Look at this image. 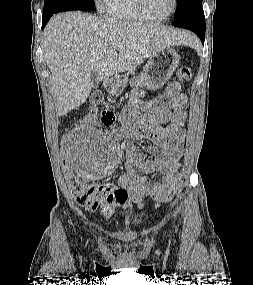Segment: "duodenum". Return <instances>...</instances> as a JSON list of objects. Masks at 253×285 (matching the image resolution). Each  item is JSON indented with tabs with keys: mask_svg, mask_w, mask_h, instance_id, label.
I'll return each mask as SVG.
<instances>
[{
	"mask_svg": "<svg viewBox=\"0 0 253 285\" xmlns=\"http://www.w3.org/2000/svg\"><path fill=\"white\" fill-rule=\"evenodd\" d=\"M103 86L108 91H112L113 90V84H112V82L110 80H105L104 83H103ZM92 100H93L94 103H97L99 101L98 95H95Z\"/></svg>",
	"mask_w": 253,
	"mask_h": 285,
	"instance_id": "obj_1",
	"label": "duodenum"
}]
</instances>
